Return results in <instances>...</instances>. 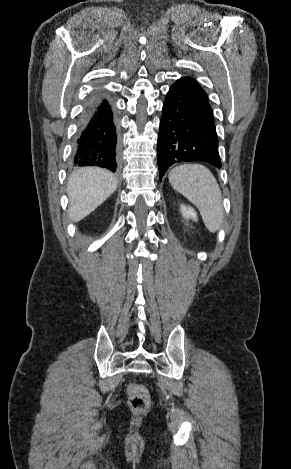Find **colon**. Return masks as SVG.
Instances as JSON below:
<instances>
[{
  "label": "colon",
  "mask_w": 291,
  "mask_h": 469,
  "mask_svg": "<svg viewBox=\"0 0 291 469\" xmlns=\"http://www.w3.org/2000/svg\"><path fill=\"white\" fill-rule=\"evenodd\" d=\"M128 402L135 411H144L150 405V395L147 388L138 383H132L127 388Z\"/></svg>",
  "instance_id": "obj_1"
}]
</instances>
